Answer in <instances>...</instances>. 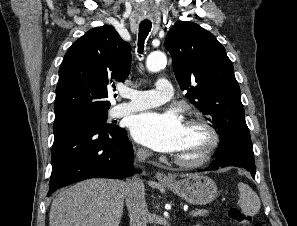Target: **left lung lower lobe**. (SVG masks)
<instances>
[{"label":"left lung lower lobe","mask_w":297,"mask_h":226,"mask_svg":"<svg viewBox=\"0 0 297 226\" xmlns=\"http://www.w3.org/2000/svg\"><path fill=\"white\" fill-rule=\"evenodd\" d=\"M215 161L206 169L201 171L216 170L228 166L243 167L248 170L255 179L256 166L254 154L252 151V142L248 141L243 144L224 143L216 150Z\"/></svg>","instance_id":"1"}]
</instances>
